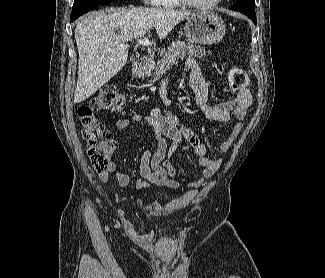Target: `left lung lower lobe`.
<instances>
[{"label": "left lung lower lobe", "mask_w": 325, "mask_h": 278, "mask_svg": "<svg viewBox=\"0 0 325 278\" xmlns=\"http://www.w3.org/2000/svg\"><path fill=\"white\" fill-rule=\"evenodd\" d=\"M254 6V0H237L236 3L229 8L247 15L254 22V24H256L257 19Z\"/></svg>", "instance_id": "obj_1"}]
</instances>
